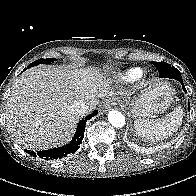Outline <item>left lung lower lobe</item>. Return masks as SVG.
I'll list each match as a JSON object with an SVG mask.
<instances>
[{"label":"left lung lower lobe","mask_w":196,"mask_h":196,"mask_svg":"<svg viewBox=\"0 0 196 196\" xmlns=\"http://www.w3.org/2000/svg\"><path fill=\"white\" fill-rule=\"evenodd\" d=\"M165 75H167V74H165ZM168 78H173V79L178 80L182 84V88H183L184 92L186 93V89H185V86L183 85V81H182L181 75L171 74V75H168ZM189 108H190V105H189Z\"/></svg>","instance_id":"left-lung-lower-lobe-1"}]
</instances>
